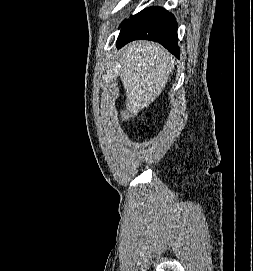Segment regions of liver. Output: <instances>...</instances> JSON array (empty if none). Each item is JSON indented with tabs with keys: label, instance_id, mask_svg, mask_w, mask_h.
Here are the masks:
<instances>
[{
	"label": "liver",
	"instance_id": "6515ba94",
	"mask_svg": "<svg viewBox=\"0 0 253 271\" xmlns=\"http://www.w3.org/2000/svg\"><path fill=\"white\" fill-rule=\"evenodd\" d=\"M120 54V78L127 97L121 118L127 121L162 93L174 69V60L161 45L148 41L132 42Z\"/></svg>",
	"mask_w": 253,
	"mask_h": 271
}]
</instances>
